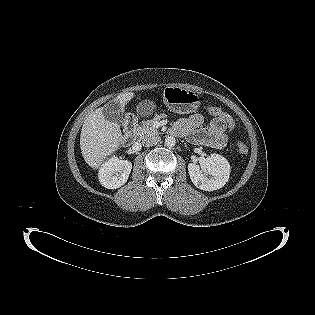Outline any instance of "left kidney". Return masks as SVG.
Returning <instances> with one entry per match:
<instances>
[{
    "label": "left kidney",
    "instance_id": "5707ae66",
    "mask_svg": "<svg viewBox=\"0 0 315 315\" xmlns=\"http://www.w3.org/2000/svg\"><path fill=\"white\" fill-rule=\"evenodd\" d=\"M188 172L193 184L204 191L222 188L228 181L230 165L226 158L219 154H211L203 165L188 164Z\"/></svg>",
    "mask_w": 315,
    "mask_h": 315
}]
</instances>
